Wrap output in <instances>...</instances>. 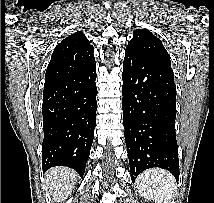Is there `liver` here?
Returning <instances> with one entry per match:
<instances>
[{
	"label": "liver",
	"mask_w": 214,
	"mask_h": 203,
	"mask_svg": "<svg viewBox=\"0 0 214 203\" xmlns=\"http://www.w3.org/2000/svg\"><path fill=\"white\" fill-rule=\"evenodd\" d=\"M77 178V173L66 167H53L46 174L45 185L55 203L64 201L72 192L71 181Z\"/></svg>",
	"instance_id": "obj_1"
}]
</instances>
